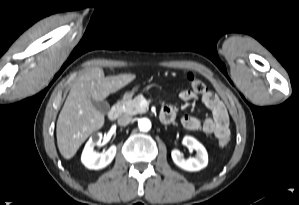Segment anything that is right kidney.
I'll use <instances>...</instances> for the list:
<instances>
[{"label":"right kidney","instance_id":"ca27d5eb","mask_svg":"<svg viewBox=\"0 0 299 205\" xmlns=\"http://www.w3.org/2000/svg\"><path fill=\"white\" fill-rule=\"evenodd\" d=\"M102 139V134L97 133L92 136L86 143L81 161L88 169H102L109 165L116 155V146L112 145L106 152L98 153L94 151V147L99 145Z\"/></svg>","mask_w":299,"mask_h":205}]
</instances>
